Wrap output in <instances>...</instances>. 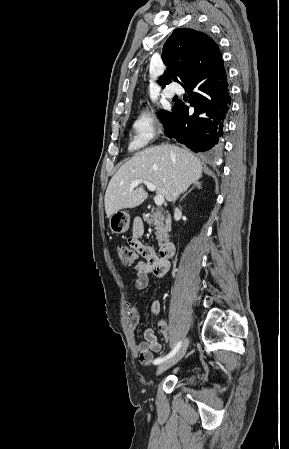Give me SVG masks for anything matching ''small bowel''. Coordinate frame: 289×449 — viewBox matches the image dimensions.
Here are the masks:
<instances>
[{
  "label": "small bowel",
  "instance_id": "small-bowel-1",
  "mask_svg": "<svg viewBox=\"0 0 289 449\" xmlns=\"http://www.w3.org/2000/svg\"><path fill=\"white\" fill-rule=\"evenodd\" d=\"M144 231V225L141 219H135L132 226L131 236L128 238V244L132 246L143 260L138 261L134 269L136 270V278L133 281L137 290H144L149 284V276L156 278L164 277L169 269L168 260L159 258L154 249L141 241ZM128 322L130 327L135 330L139 325V313L136 304L131 298L126 300ZM150 314L156 316L161 312V303L158 300L152 301L149 308ZM159 332L162 336L169 340V328L164 320L158 323ZM143 341L138 344L139 359L141 364L150 365L154 362V353L161 351L162 346L158 341L153 328L148 327L144 330Z\"/></svg>",
  "mask_w": 289,
  "mask_h": 449
}]
</instances>
